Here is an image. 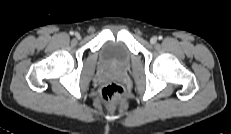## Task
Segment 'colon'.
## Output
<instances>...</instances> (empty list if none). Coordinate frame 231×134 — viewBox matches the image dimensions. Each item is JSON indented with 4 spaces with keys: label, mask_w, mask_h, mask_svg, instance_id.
Masks as SVG:
<instances>
[{
    "label": "colon",
    "mask_w": 231,
    "mask_h": 134,
    "mask_svg": "<svg viewBox=\"0 0 231 134\" xmlns=\"http://www.w3.org/2000/svg\"><path fill=\"white\" fill-rule=\"evenodd\" d=\"M101 99L108 107H113L124 96L123 89L116 83L104 86L100 91Z\"/></svg>",
    "instance_id": "1"
}]
</instances>
